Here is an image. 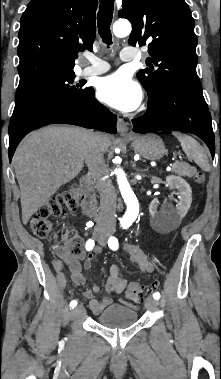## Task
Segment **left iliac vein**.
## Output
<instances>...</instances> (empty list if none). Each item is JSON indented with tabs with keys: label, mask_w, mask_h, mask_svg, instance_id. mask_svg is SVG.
Returning a JSON list of instances; mask_svg holds the SVG:
<instances>
[{
	"label": "left iliac vein",
	"mask_w": 221,
	"mask_h": 379,
	"mask_svg": "<svg viewBox=\"0 0 221 379\" xmlns=\"http://www.w3.org/2000/svg\"><path fill=\"white\" fill-rule=\"evenodd\" d=\"M101 245H105L106 242L104 240L99 241ZM158 301L152 297H148L145 301V307L149 310H155L157 308Z\"/></svg>",
	"instance_id": "obj_1"
}]
</instances>
